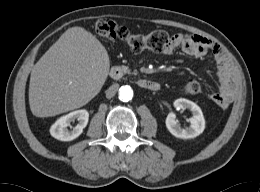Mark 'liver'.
<instances>
[{
    "label": "liver",
    "mask_w": 260,
    "mask_h": 192,
    "mask_svg": "<svg viewBox=\"0 0 260 192\" xmlns=\"http://www.w3.org/2000/svg\"><path fill=\"white\" fill-rule=\"evenodd\" d=\"M110 69L105 47L83 27H72L34 65L30 110L50 117L82 107L102 89Z\"/></svg>",
    "instance_id": "obj_1"
}]
</instances>
